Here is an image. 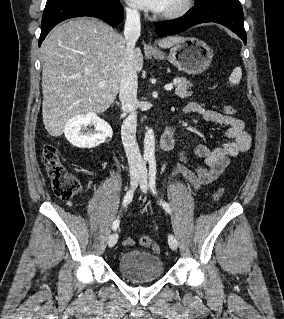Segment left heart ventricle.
I'll list each match as a JSON object with an SVG mask.
<instances>
[{
  "label": "left heart ventricle",
  "mask_w": 284,
  "mask_h": 319,
  "mask_svg": "<svg viewBox=\"0 0 284 319\" xmlns=\"http://www.w3.org/2000/svg\"><path fill=\"white\" fill-rule=\"evenodd\" d=\"M182 0H165L160 13L170 11L179 6Z\"/></svg>",
  "instance_id": "obj_1"
}]
</instances>
